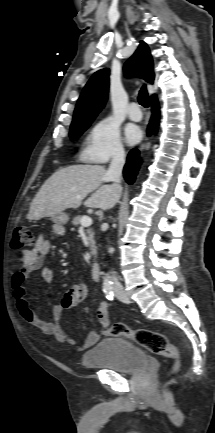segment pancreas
<instances>
[{
    "label": "pancreas",
    "mask_w": 215,
    "mask_h": 433,
    "mask_svg": "<svg viewBox=\"0 0 215 433\" xmlns=\"http://www.w3.org/2000/svg\"><path fill=\"white\" fill-rule=\"evenodd\" d=\"M82 218H83L82 216L74 217L72 220L73 225L75 226L81 225ZM86 233L88 235L87 239L90 247V255L96 256L97 252H96V245L94 240V232L92 231V229H86Z\"/></svg>",
    "instance_id": "cf45deb5"
}]
</instances>
